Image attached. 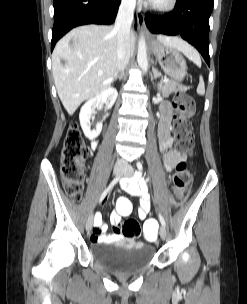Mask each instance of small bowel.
I'll return each mask as SVG.
<instances>
[{
  "mask_svg": "<svg viewBox=\"0 0 247 304\" xmlns=\"http://www.w3.org/2000/svg\"><path fill=\"white\" fill-rule=\"evenodd\" d=\"M171 116L172 109L169 103H164L161 107V118L158 125L159 149L163 152V162L167 171H171L180 161V154L174 148L173 137L171 134ZM97 147V142H92V148ZM122 189L134 196L140 197V207L138 209V217L142 220L146 219L151 208L150 195L148 193V185L146 180L141 178L140 174L135 175L132 179L125 180L121 183ZM111 221L114 225L120 222L118 213L111 215ZM107 227L102 222L100 215L97 216L92 241L106 242L116 241L122 238V234L117 226L110 235L106 233Z\"/></svg>",
  "mask_w": 247,
  "mask_h": 304,
  "instance_id": "small-bowel-1",
  "label": "small bowel"
}]
</instances>
